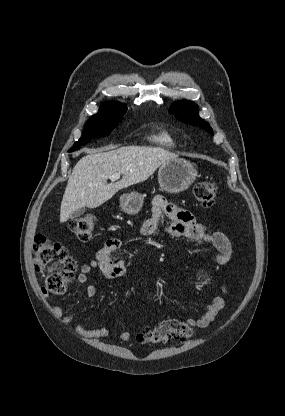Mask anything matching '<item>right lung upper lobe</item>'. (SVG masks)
Here are the masks:
<instances>
[{
  "instance_id": "right-lung-upper-lobe-1",
  "label": "right lung upper lobe",
  "mask_w": 285,
  "mask_h": 416,
  "mask_svg": "<svg viewBox=\"0 0 285 416\" xmlns=\"http://www.w3.org/2000/svg\"><path fill=\"white\" fill-rule=\"evenodd\" d=\"M127 109L126 105L119 102H104L99 110H122Z\"/></svg>"
}]
</instances>
